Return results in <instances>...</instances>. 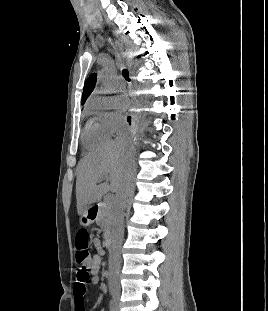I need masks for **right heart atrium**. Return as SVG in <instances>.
<instances>
[{
    "mask_svg": "<svg viewBox=\"0 0 268 311\" xmlns=\"http://www.w3.org/2000/svg\"><path fill=\"white\" fill-rule=\"evenodd\" d=\"M88 110L109 135H115L124 128L123 116L115 109L111 98L94 96L88 104Z\"/></svg>",
    "mask_w": 268,
    "mask_h": 311,
    "instance_id": "d8ad5b80",
    "label": "right heart atrium"
}]
</instances>
